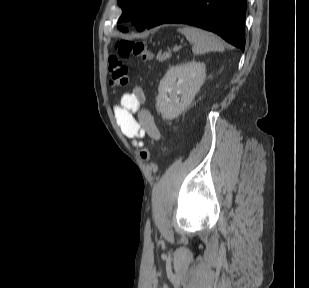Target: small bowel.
Returning a JSON list of instances; mask_svg holds the SVG:
<instances>
[{"label": "small bowel", "mask_w": 309, "mask_h": 288, "mask_svg": "<svg viewBox=\"0 0 309 288\" xmlns=\"http://www.w3.org/2000/svg\"><path fill=\"white\" fill-rule=\"evenodd\" d=\"M144 95L141 90L124 93L120 104L114 107V114L121 132L131 139L134 146L140 148L143 142L139 141L146 135L158 140L160 132L152 114L141 108Z\"/></svg>", "instance_id": "1"}]
</instances>
